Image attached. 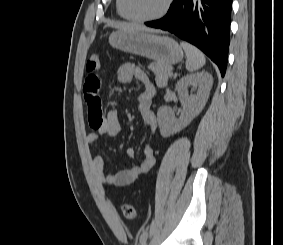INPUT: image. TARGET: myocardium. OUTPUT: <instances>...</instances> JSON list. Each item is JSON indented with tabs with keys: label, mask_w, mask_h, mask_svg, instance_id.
<instances>
[{
	"label": "myocardium",
	"mask_w": 283,
	"mask_h": 245,
	"mask_svg": "<svg viewBox=\"0 0 283 245\" xmlns=\"http://www.w3.org/2000/svg\"><path fill=\"white\" fill-rule=\"evenodd\" d=\"M174 0H166L163 8L155 15L149 17H137L130 13L128 7V0H122V7L126 17L129 20L136 21V22H152L163 18L170 10Z\"/></svg>",
	"instance_id": "myocardium-1"
}]
</instances>
